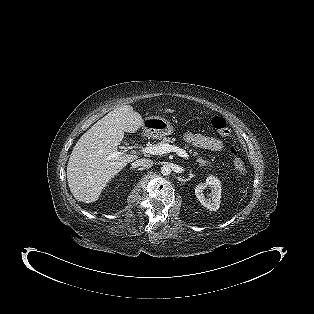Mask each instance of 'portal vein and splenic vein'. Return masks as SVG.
Masks as SVG:
<instances>
[{
    "label": "portal vein and splenic vein",
    "mask_w": 314,
    "mask_h": 314,
    "mask_svg": "<svg viewBox=\"0 0 314 314\" xmlns=\"http://www.w3.org/2000/svg\"><path fill=\"white\" fill-rule=\"evenodd\" d=\"M126 151H127L126 148H124L123 151H120V152L117 151V152L111 153L108 158L109 159L117 158L119 155L125 154ZM141 152L144 154H151V155H162L165 153L175 152L178 156L189 159V155L186 153L185 150L177 146H173L169 144L147 146V147L142 148Z\"/></svg>",
    "instance_id": "obj_1"
}]
</instances>
